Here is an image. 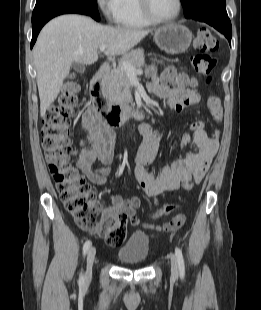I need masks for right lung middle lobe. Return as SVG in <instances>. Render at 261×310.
Segmentation results:
<instances>
[{"label":"right lung middle lobe","mask_w":261,"mask_h":310,"mask_svg":"<svg viewBox=\"0 0 261 310\" xmlns=\"http://www.w3.org/2000/svg\"><path fill=\"white\" fill-rule=\"evenodd\" d=\"M55 9L76 10L86 13L96 21L100 20L97 9V0H37L33 10L32 19H35L44 12Z\"/></svg>","instance_id":"obj_1"}]
</instances>
